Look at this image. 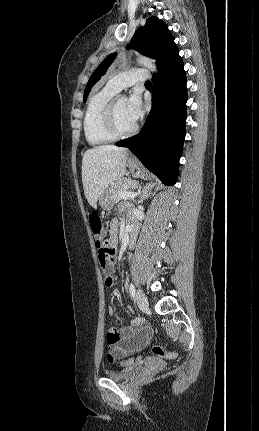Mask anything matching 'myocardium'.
<instances>
[{"label": "myocardium", "instance_id": "myocardium-1", "mask_svg": "<svg viewBox=\"0 0 259 431\" xmlns=\"http://www.w3.org/2000/svg\"><path fill=\"white\" fill-rule=\"evenodd\" d=\"M118 97H113L105 106L103 112V121L104 126L109 134H111L115 138H124L133 135L138 127L136 124L133 125L132 128L128 130H122L117 124L116 115H115V104Z\"/></svg>", "mask_w": 259, "mask_h": 431}]
</instances>
